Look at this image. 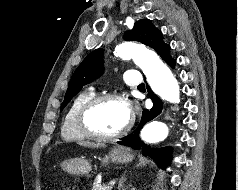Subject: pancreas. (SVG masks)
<instances>
[{
    "mask_svg": "<svg viewBox=\"0 0 238 190\" xmlns=\"http://www.w3.org/2000/svg\"><path fill=\"white\" fill-rule=\"evenodd\" d=\"M92 190H112V187H111V186L101 185V184L99 183L98 179L96 178V179L94 180Z\"/></svg>",
    "mask_w": 238,
    "mask_h": 190,
    "instance_id": "pancreas-1",
    "label": "pancreas"
}]
</instances>
